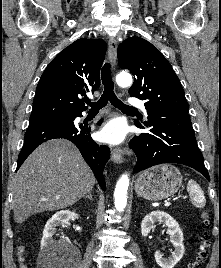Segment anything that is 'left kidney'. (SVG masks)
<instances>
[{
  "label": "left kidney",
  "mask_w": 221,
  "mask_h": 268,
  "mask_svg": "<svg viewBox=\"0 0 221 268\" xmlns=\"http://www.w3.org/2000/svg\"><path fill=\"white\" fill-rule=\"evenodd\" d=\"M156 222L164 223L167 226V233L171 237L170 241L173 244L174 251L168 259L164 258L162 253L156 251L155 260L161 268H173L184 254L183 232L176 220L168 213L164 211H153L146 215L141 222L142 236H147L155 227Z\"/></svg>",
  "instance_id": "obj_1"
}]
</instances>
